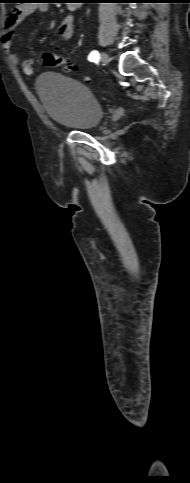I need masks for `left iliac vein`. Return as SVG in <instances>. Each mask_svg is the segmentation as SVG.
<instances>
[{
    "instance_id": "1",
    "label": "left iliac vein",
    "mask_w": 190,
    "mask_h": 483,
    "mask_svg": "<svg viewBox=\"0 0 190 483\" xmlns=\"http://www.w3.org/2000/svg\"><path fill=\"white\" fill-rule=\"evenodd\" d=\"M100 61L102 62L103 65H108L109 64V57L106 52H102L100 56Z\"/></svg>"
}]
</instances>
